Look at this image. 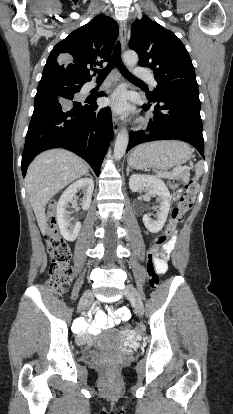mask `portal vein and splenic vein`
<instances>
[{"label":"portal vein and splenic vein","mask_w":233,"mask_h":414,"mask_svg":"<svg viewBox=\"0 0 233 414\" xmlns=\"http://www.w3.org/2000/svg\"><path fill=\"white\" fill-rule=\"evenodd\" d=\"M183 170H184V167H179L174 170V173H179V172H182ZM171 175H173V173H166V174H163V177L169 178Z\"/></svg>","instance_id":"obj_1"}]
</instances>
